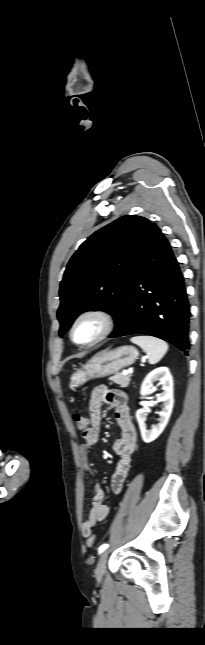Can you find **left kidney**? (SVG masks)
<instances>
[{
    "instance_id": "left-kidney-1",
    "label": "left kidney",
    "mask_w": 205,
    "mask_h": 645,
    "mask_svg": "<svg viewBox=\"0 0 205 645\" xmlns=\"http://www.w3.org/2000/svg\"><path fill=\"white\" fill-rule=\"evenodd\" d=\"M156 381H159L162 384L163 390L161 394L157 395V400L163 402L164 405L162 410L159 412V423L154 425L151 430H147L145 424L147 416L146 410L139 409L136 412V419L139 424L141 436L143 441L146 443L154 441L163 432L169 421L174 405L173 379L167 367H159L151 371L141 385L140 394L142 396L150 394L154 388L153 383Z\"/></svg>"
}]
</instances>
